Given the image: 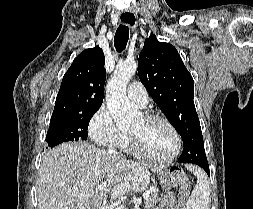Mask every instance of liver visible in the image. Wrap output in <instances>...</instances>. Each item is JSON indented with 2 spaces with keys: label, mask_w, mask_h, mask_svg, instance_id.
Returning a JSON list of instances; mask_svg holds the SVG:
<instances>
[{
  "label": "liver",
  "mask_w": 253,
  "mask_h": 209,
  "mask_svg": "<svg viewBox=\"0 0 253 209\" xmlns=\"http://www.w3.org/2000/svg\"><path fill=\"white\" fill-rule=\"evenodd\" d=\"M151 164L117 159L106 151L82 142L64 143L43 157L37 180L38 209H103L111 190L113 197L129 190H143L150 179ZM99 182L105 190L95 191ZM122 187L119 194L113 188Z\"/></svg>",
  "instance_id": "6515ba94"
}]
</instances>
